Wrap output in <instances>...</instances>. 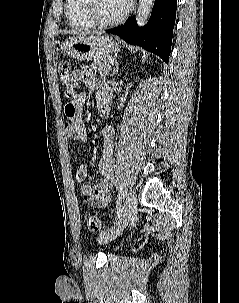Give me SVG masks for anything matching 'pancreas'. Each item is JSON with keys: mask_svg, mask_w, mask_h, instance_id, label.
Listing matches in <instances>:
<instances>
[{"mask_svg": "<svg viewBox=\"0 0 239 303\" xmlns=\"http://www.w3.org/2000/svg\"><path fill=\"white\" fill-rule=\"evenodd\" d=\"M108 64L109 59H97L94 60V62L91 64V67L94 69V71L100 73L103 76H106L109 73V69L107 68Z\"/></svg>", "mask_w": 239, "mask_h": 303, "instance_id": "cf45deb5", "label": "pancreas"}]
</instances>
